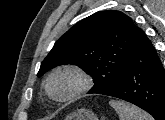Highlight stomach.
Segmentation results:
<instances>
[{
	"label": "stomach",
	"mask_w": 165,
	"mask_h": 120,
	"mask_svg": "<svg viewBox=\"0 0 165 120\" xmlns=\"http://www.w3.org/2000/svg\"><path fill=\"white\" fill-rule=\"evenodd\" d=\"M65 120H98V117L89 109H77L67 115Z\"/></svg>",
	"instance_id": "stomach-1"
}]
</instances>
